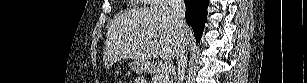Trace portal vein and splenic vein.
<instances>
[{
	"instance_id": "1",
	"label": "portal vein and splenic vein",
	"mask_w": 307,
	"mask_h": 83,
	"mask_svg": "<svg viewBox=\"0 0 307 83\" xmlns=\"http://www.w3.org/2000/svg\"><path fill=\"white\" fill-rule=\"evenodd\" d=\"M173 69V65L171 62H164L162 65H161V72L163 74H168L172 71Z\"/></svg>"
}]
</instances>
